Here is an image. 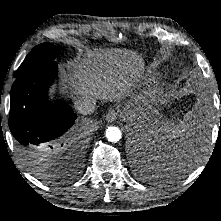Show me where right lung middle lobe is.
<instances>
[{
	"label": "right lung middle lobe",
	"instance_id": "right-lung-middle-lobe-1",
	"mask_svg": "<svg viewBox=\"0 0 221 221\" xmlns=\"http://www.w3.org/2000/svg\"><path fill=\"white\" fill-rule=\"evenodd\" d=\"M59 49L51 43H42L32 49L23 63L16 71L14 77L17 79L31 69L44 63L54 61Z\"/></svg>",
	"mask_w": 221,
	"mask_h": 221
}]
</instances>
